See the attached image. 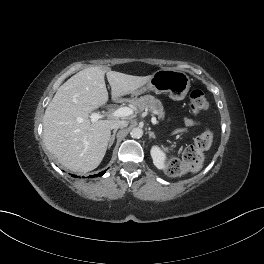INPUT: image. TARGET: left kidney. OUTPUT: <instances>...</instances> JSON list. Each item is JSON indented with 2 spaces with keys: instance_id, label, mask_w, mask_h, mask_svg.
<instances>
[{
  "instance_id": "obj_1",
  "label": "left kidney",
  "mask_w": 264,
  "mask_h": 264,
  "mask_svg": "<svg viewBox=\"0 0 264 264\" xmlns=\"http://www.w3.org/2000/svg\"><path fill=\"white\" fill-rule=\"evenodd\" d=\"M151 157L154 165L158 169H164L166 167V154L160 147L153 146L151 148Z\"/></svg>"
}]
</instances>
